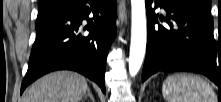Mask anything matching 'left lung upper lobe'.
I'll list each match as a JSON object with an SVG mask.
<instances>
[{
  "label": "left lung upper lobe",
  "mask_w": 221,
  "mask_h": 102,
  "mask_svg": "<svg viewBox=\"0 0 221 102\" xmlns=\"http://www.w3.org/2000/svg\"><path fill=\"white\" fill-rule=\"evenodd\" d=\"M190 1L198 5L202 9H204L206 12L210 13V7H211L210 0H190Z\"/></svg>",
  "instance_id": "1"
}]
</instances>
